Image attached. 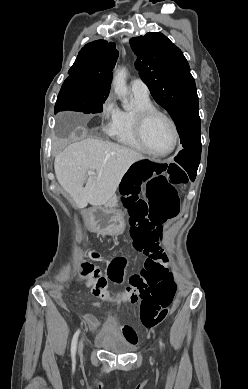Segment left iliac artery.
<instances>
[{
  "label": "left iliac artery",
  "mask_w": 248,
  "mask_h": 389,
  "mask_svg": "<svg viewBox=\"0 0 248 389\" xmlns=\"http://www.w3.org/2000/svg\"><path fill=\"white\" fill-rule=\"evenodd\" d=\"M162 346H163V343H162V341L160 340V347L162 348Z\"/></svg>",
  "instance_id": "left-iliac-artery-1"
}]
</instances>
